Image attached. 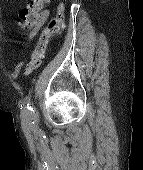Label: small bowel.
I'll use <instances>...</instances> for the list:
<instances>
[{"mask_svg":"<svg viewBox=\"0 0 143 170\" xmlns=\"http://www.w3.org/2000/svg\"><path fill=\"white\" fill-rule=\"evenodd\" d=\"M42 1L45 2V3L51 2V0H42ZM48 15H49V11L48 10H42V11L39 10L37 12L36 19L30 25H28V26L33 27V30L36 31L38 28H40L43 25V23L46 21ZM19 25L23 26V27H28V26H24L23 23L20 20H19ZM21 66H22V63H19L16 66L14 72L12 73L13 77H17L18 76L19 70H20Z\"/></svg>","mask_w":143,"mask_h":170,"instance_id":"small-bowel-1","label":"small bowel"}]
</instances>
